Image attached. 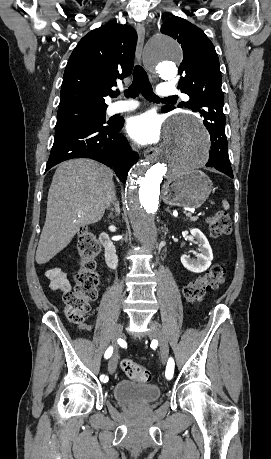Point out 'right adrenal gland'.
<instances>
[{"label":"right adrenal gland","mask_w":271,"mask_h":459,"mask_svg":"<svg viewBox=\"0 0 271 459\" xmlns=\"http://www.w3.org/2000/svg\"><path fill=\"white\" fill-rule=\"evenodd\" d=\"M114 200H116V198H114ZM114 204H116V202H114ZM109 218H114V216H111L110 214Z\"/></svg>","instance_id":"obj_1"}]
</instances>
